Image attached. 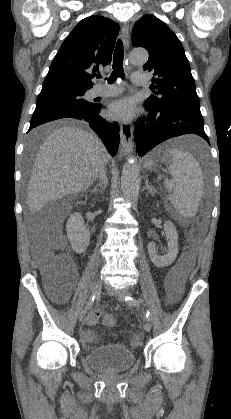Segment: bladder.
I'll use <instances>...</instances> for the list:
<instances>
[{
    "mask_svg": "<svg viewBox=\"0 0 231 419\" xmlns=\"http://www.w3.org/2000/svg\"><path fill=\"white\" fill-rule=\"evenodd\" d=\"M87 365L101 373L128 371L137 361L135 353L119 344H106L84 354Z\"/></svg>",
    "mask_w": 231,
    "mask_h": 419,
    "instance_id": "1",
    "label": "bladder"
}]
</instances>
